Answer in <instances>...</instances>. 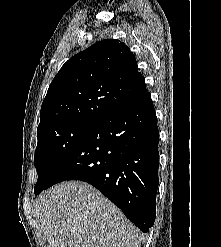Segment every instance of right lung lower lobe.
I'll list each match as a JSON object with an SVG mask.
<instances>
[{"label":"right lung lower lobe","mask_w":221,"mask_h":247,"mask_svg":"<svg viewBox=\"0 0 221 247\" xmlns=\"http://www.w3.org/2000/svg\"><path fill=\"white\" fill-rule=\"evenodd\" d=\"M158 142L156 113L147 92L100 121L45 189L66 180L85 181L146 233L156 216Z\"/></svg>","instance_id":"right-lung-lower-lobe-1"}]
</instances>
